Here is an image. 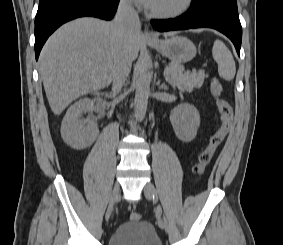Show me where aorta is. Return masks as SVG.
Wrapping results in <instances>:
<instances>
[{"instance_id": "obj_1", "label": "aorta", "mask_w": 283, "mask_h": 245, "mask_svg": "<svg viewBox=\"0 0 283 245\" xmlns=\"http://www.w3.org/2000/svg\"><path fill=\"white\" fill-rule=\"evenodd\" d=\"M150 94V79L146 73H142L136 82V92L134 99L135 117L144 119L147 110L148 97Z\"/></svg>"}]
</instances>
